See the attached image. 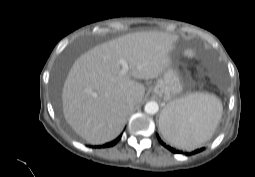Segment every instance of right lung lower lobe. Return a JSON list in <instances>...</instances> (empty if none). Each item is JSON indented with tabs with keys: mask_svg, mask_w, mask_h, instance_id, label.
Segmentation results:
<instances>
[{
	"mask_svg": "<svg viewBox=\"0 0 255 177\" xmlns=\"http://www.w3.org/2000/svg\"><path fill=\"white\" fill-rule=\"evenodd\" d=\"M120 138H121V135L118 138H116L114 141L109 142V143L103 145L102 147H111V146H114L120 140Z\"/></svg>",
	"mask_w": 255,
	"mask_h": 177,
	"instance_id": "right-lung-lower-lobe-1",
	"label": "right lung lower lobe"
}]
</instances>
